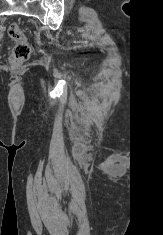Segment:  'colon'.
Returning a JSON list of instances; mask_svg holds the SVG:
<instances>
[{"mask_svg": "<svg viewBox=\"0 0 163 235\" xmlns=\"http://www.w3.org/2000/svg\"><path fill=\"white\" fill-rule=\"evenodd\" d=\"M8 35L15 42L10 61L13 65L18 66L29 58L31 46L26 35L16 23L9 26Z\"/></svg>", "mask_w": 163, "mask_h": 235, "instance_id": "colon-1", "label": "colon"}]
</instances>
